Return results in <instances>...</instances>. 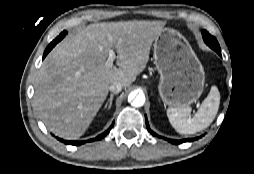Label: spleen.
<instances>
[{
  "label": "spleen",
  "mask_w": 254,
  "mask_h": 174,
  "mask_svg": "<svg viewBox=\"0 0 254 174\" xmlns=\"http://www.w3.org/2000/svg\"><path fill=\"white\" fill-rule=\"evenodd\" d=\"M220 104V93L212 86L194 117L189 106L168 108L167 116L173 128L180 134H195L206 129L215 119Z\"/></svg>",
  "instance_id": "spleen-1"
}]
</instances>
